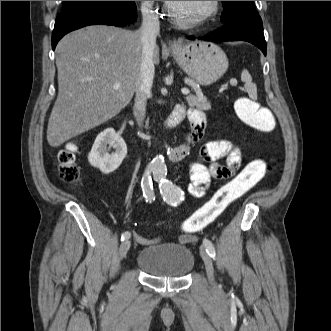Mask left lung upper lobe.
<instances>
[{
	"label": "left lung upper lobe",
	"instance_id": "1",
	"mask_svg": "<svg viewBox=\"0 0 331 331\" xmlns=\"http://www.w3.org/2000/svg\"><path fill=\"white\" fill-rule=\"evenodd\" d=\"M222 3L224 13L221 21L223 23L258 16L254 7V1H222Z\"/></svg>",
	"mask_w": 331,
	"mask_h": 331
}]
</instances>
